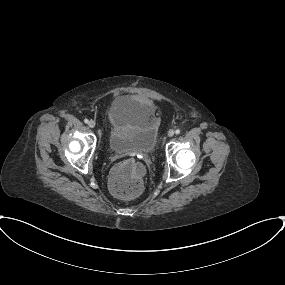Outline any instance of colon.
Returning <instances> with one entry per match:
<instances>
[{
  "mask_svg": "<svg viewBox=\"0 0 285 285\" xmlns=\"http://www.w3.org/2000/svg\"><path fill=\"white\" fill-rule=\"evenodd\" d=\"M144 167L136 161L116 166L109 176L111 194L121 200H132L144 190Z\"/></svg>",
  "mask_w": 285,
  "mask_h": 285,
  "instance_id": "obj_1",
  "label": "colon"
}]
</instances>
